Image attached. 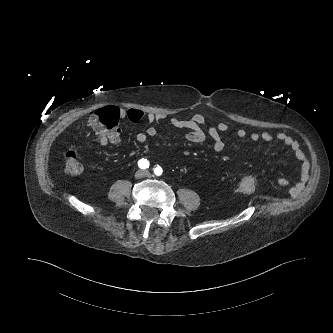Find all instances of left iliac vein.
Listing matches in <instances>:
<instances>
[{
  "label": "left iliac vein",
  "mask_w": 333,
  "mask_h": 333,
  "mask_svg": "<svg viewBox=\"0 0 333 333\" xmlns=\"http://www.w3.org/2000/svg\"><path fill=\"white\" fill-rule=\"evenodd\" d=\"M144 174H145L146 177H151L152 176V174L149 171H144Z\"/></svg>",
  "instance_id": "left-iliac-vein-1"
}]
</instances>
